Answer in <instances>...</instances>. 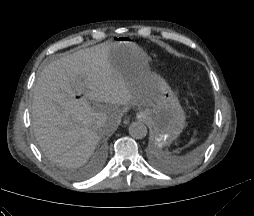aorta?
Here are the masks:
<instances>
[{
  "mask_svg": "<svg viewBox=\"0 0 254 216\" xmlns=\"http://www.w3.org/2000/svg\"><path fill=\"white\" fill-rule=\"evenodd\" d=\"M147 127L140 121L132 122L129 126V134L135 139H142L147 135Z\"/></svg>",
  "mask_w": 254,
  "mask_h": 216,
  "instance_id": "1",
  "label": "aorta"
}]
</instances>
